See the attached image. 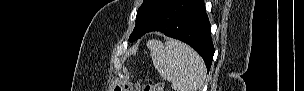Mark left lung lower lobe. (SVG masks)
<instances>
[{
	"label": "left lung lower lobe",
	"mask_w": 304,
	"mask_h": 91,
	"mask_svg": "<svg viewBox=\"0 0 304 91\" xmlns=\"http://www.w3.org/2000/svg\"><path fill=\"white\" fill-rule=\"evenodd\" d=\"M151 31H161L190 45L203 58L209 71L215 50L203 0H172L145 33Z\"/></svg>",
	"instance_id": "left-lung-lower-lobe-1"
}]
</instances>
